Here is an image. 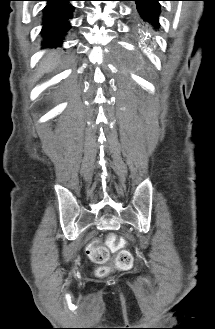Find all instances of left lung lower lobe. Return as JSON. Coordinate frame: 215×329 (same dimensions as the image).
<instances>
[{"label":"left lung lower lobe","mask_w":215,"mask_h":329,"mask_svg":"<svg viewBox=\"0 0 215 329\" xmlns=\"http://www.w3.org/2000/svg\"><path fill=\"white\" fill-rule=\"evenodd\" d=\"M137 4V10L145 21L158 25L160 13L159 1L163 0H133Z\"/></svg>","instance_id":"1"}]
</instances>
